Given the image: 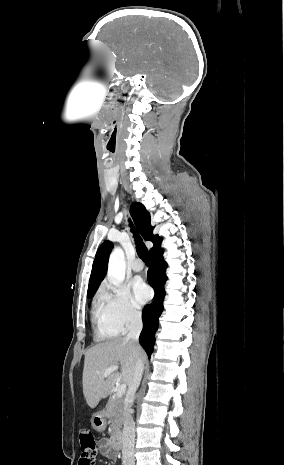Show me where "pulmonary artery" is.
Segmentation results:
<instances>
[{
  "mask_svg": "<svg viewBox=\"0 0 284 465\" xmlns=\"http://www.w3.org/2000/svg\"><path fill=\"white\" fill-rule=\"evenodd\" d=\"M143 263L141 260L139 259H136L134 262H132L131 264V269L134 271V272H140L143 270Z\"/></svg>",
  "mask_w": 284,
  "mask_h": 465,
  "instance_id": "obj_1",
  "label": "pulmonary artery"
}]
</instances>
